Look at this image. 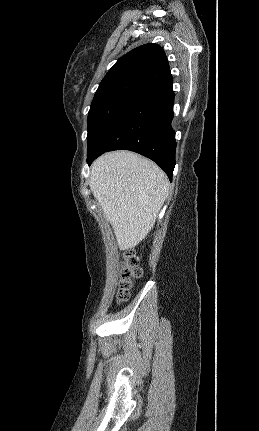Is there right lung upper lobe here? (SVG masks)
Listing matches in <instances>:
<instances>
[{"label":"right lung upper lobe","mask_w":259,"mask_h":431,"mask_svg":"<svg viewBox=\"0 0 259 431\" xmlns=\"http://www.w3.org/2000/svg\"><path fill=\"white\" fill-rule=\"evenodd\" d=\"M164 50L158 44H145L133 49L112 66L96 92L137 81L151 90L172 82Z\"/></svg>","instance_id":"right-lung-upper-lobe-1"}]
</instances>
